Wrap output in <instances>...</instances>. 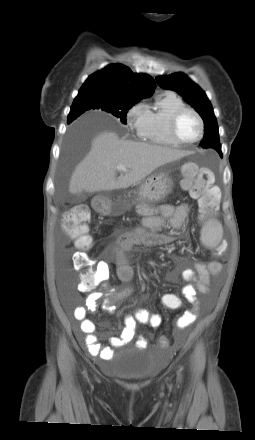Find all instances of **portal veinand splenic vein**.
Here are the masks:
<instances>
[{
  "label": "portal vein and splenic vein",
  "mask_w": 255,
  "mask_h": 440,
  "mask_svg": "<svg viewBox=\"0 0 255 440\" xmlns=\"http://www.w3.org/2000/svg\"><path fill=\"white\" fill-rule=\"evenodd\" d=\"M116 168L119 171H127L126 167L124 165H122V164H119Z\"/></svg>",
  "instance_id": "obj_1"
}]
</instances>
